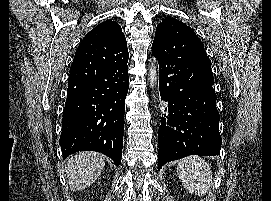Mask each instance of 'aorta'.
<instances>
[{
    "label": "aorta",
    "mask_w": 271,
    "mask_h": 201,
    "mask_svg": "<svg viewBox=\"0 0 271 201\" xmlns=\"http://www.w3.org/2000/svg\"><path fill=\"white\" fill-rule=\"evenodd\" d=\"M148 80L150 82V86L153 88L157 82V71L153 63L149 66Z\"/></svg>",
    "instance_id": "1"
}]
</instances>
